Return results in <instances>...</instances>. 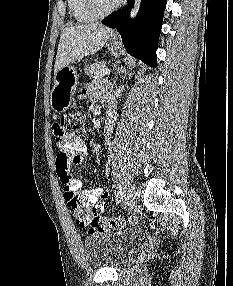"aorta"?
<instances>
[{
	"label": "aorta",
	"instance_id": "aorta-1",
	"mask_svg": "<svg viewBox=\"0 0 233 286\" xmlns=\"http://www.w3.org/2000/svg\"><path fill=\"white\" fill-rule=\"evenodd\" d=\"M141 0H135L131 10V18L134 19L139 11Z\"/></svg>",
	"mask_w": 233,
	"mask_h": 286
}]
</instances>
